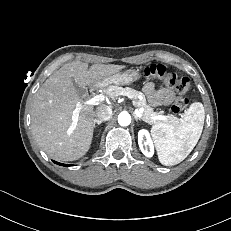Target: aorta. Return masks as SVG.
I'll return each mask as SVG.
<instances>
[{
	"label": "aorta",
	"mask_w": 231,
	"mask_h": 231,
	"mask_svg": "<svg viewBox=\"0 0 231 231\" xmlns=\"http://www.w3.org/2000/svg\"><path fill=\"white\" fill-rule=\"evenodd\" d=\"M118 123L121 126H128L131 123V116L127 112H121L118 115Z\"/></svg>",
	"instance_id": "aorta-1"
}]
</instances>
